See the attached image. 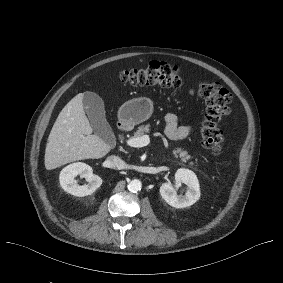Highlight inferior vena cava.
Segmentation results:
<instances>
[{
	"instance_id": "602c4592",
	"label": "inferior vena cava",
	"mask_w": 283,
	"mask_h": 283,
	"mask_svg": "<svg viewBox=\"0 0 283 283\" xmlns=\"http://www.w3.org/2000/svg\"><path fill=\"white\" fill-rule=\"evenodd\" d=\"M108 166L113 169H120L123 167L124 162L117 156L111 155L107 158Z\"/></svg>"
}]
</instances>
